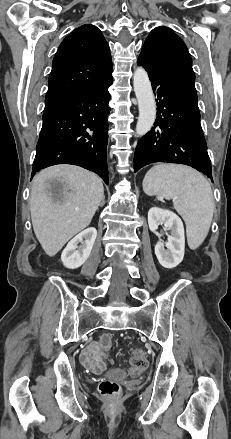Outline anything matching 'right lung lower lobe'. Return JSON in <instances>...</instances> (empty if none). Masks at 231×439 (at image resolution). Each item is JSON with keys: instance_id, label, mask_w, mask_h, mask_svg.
Listing matches in <instances>:
<instances>
[{"instance_id": "98d812e1", "label": "right lung lower lobe", "mask_w": 231, "mask_h": 439, "mask_svg": "<svg viewBox=\"0 0 231 439\" xmlns=\"http://www.w3.org/2000/svg\"><path fill=\"white\" fill-rule=\"evenodd\" d=\"M112 83L111 78L44 111L31 178L48 166L73 164L97 173L108 184V88Z\"/></svg>"}]
</instances>
